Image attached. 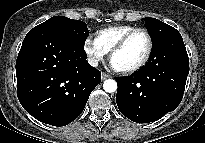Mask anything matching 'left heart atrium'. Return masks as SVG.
Masks as SVG:
<instances>
[{
    "label": "left heart atrium",
    "mask_w": 205,
    "mask_h": 143,
    "mask_svg": "<svg viewBox=\"0 0 205 143\" xmlns=\"http://www.w3.org/2000/svg\"><path fill=\"white\" fill-rule=\"evenodd\" d=\"M111 67H112L114 70H117V71H120V70H121L120 67H119L116 63H114L113 61H111Z\"/></svg>",
    "instance_id": "1"
}]
</instances>
